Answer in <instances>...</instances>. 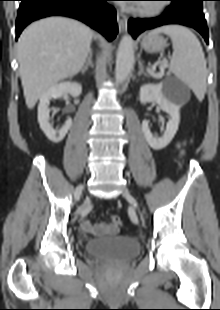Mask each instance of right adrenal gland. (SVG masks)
<instances>
[{"label": "right adrenal gland", "instance_id": "right-adrenal-gland-1", "mask_svg": "<svg viewBox=\"0 0 220 310\" xmlns=\"http://www.w3.org/2000/svg\"><path fill=\"white\" fill-rule=\"evenodd\" d=\"M92 57H93V52H92V50L90 49V51H89V53H88V58H87V60H86V62H85L84 67H83L82 70H81L82 74H84V73L87 71V69H88L89 66L92 67V68L94 67L93 62H92Z\"/></svg>", "mask_w": 220, "mask_h": 310}]
</instances>
